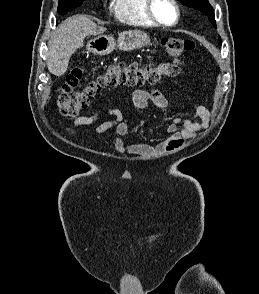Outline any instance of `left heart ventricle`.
I'll return each instance as SVG.
<instances>
[{
	"label": "left heart ventricle",
	"instance_id": "obj_1",
	"mask_svg": "<svg viewBox=\"0 0 259 294\" xmlns=\"http://www.w3.org/2000/svg\"><path fill=\"white\" fill-rule=\"evenodd\" d=\"M154 13L160 21L169 24L173 23L176 17L175 10L168 0H156Z\"/></svg>",
	"mask_w": 259,
	"mask_h": 294
}]
</instances>
